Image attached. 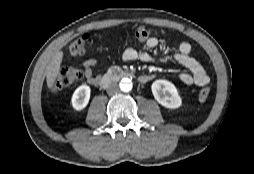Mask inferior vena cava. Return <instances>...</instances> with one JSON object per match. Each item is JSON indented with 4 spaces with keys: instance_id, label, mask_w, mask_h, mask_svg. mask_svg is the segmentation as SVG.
Returning a JSON list of instances; mask_svg holds the SVG:
<instances>
[{
    "instance_id": "obj_1",
    "label": "inferior vena cava",
    "mask_w": 254,
    "mask_h": 174,
    "mask_svg": "<svg viewBox=\"0 0 254 174\" xmlns=\"http://www.w3.org/2000/svg\"><path fill=\"white\" fill-rule=\"evenodd\" d=\"M118 90H119V87H118V84H117V83H111V84L107 87V89H106V91H107V93H108L109 95H113V94L117 93Z\"/></svg>"
}]
</instances>
